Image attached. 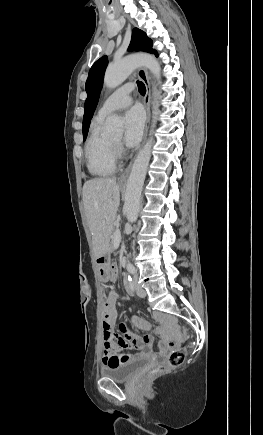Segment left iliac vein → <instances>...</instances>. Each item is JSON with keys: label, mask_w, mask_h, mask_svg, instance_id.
I'll list each match as a JSON object with an SVG mask.
<instances>
[{"label": "left iliac vein", "mask_w": 263, "mask_h": 435, "mask_svg": "<svg viewBox=\"0 0 263 435\" xmlns=\"http://www.w3.org/2000/svg\"><path fill=\"white\" fill-rule=\"evenodd\" d=\"M133 284H134L137 295L139 297H142V298L145 297L146 291L138 284V278L136 275L134 276Z\"/></svg>", "instance_id": "left-iliac-vein-1"}]
</instances>
